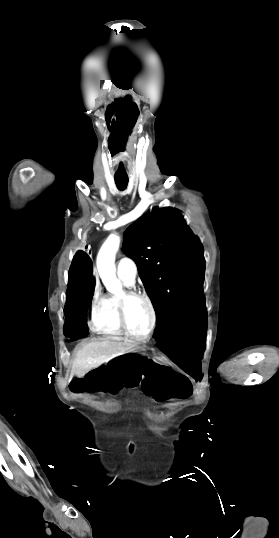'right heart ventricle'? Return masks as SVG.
Listing matches in <instances>:
<instances>
[{
  "instance_id": "e07e8e85",
  "label": "right heart ventricle",
  "mask_w": 279,
  "mask_h": 538,
  "mask_svg": "<svg viewBox=\"0 0 279 538\" xmlns=\"http://www.w3.org/2000/svg\"><path fill=\"white\" fill-rule=\"evenodd\" d=\"M111 237L118 241L116 233L111 234ZM118 275V274H117ZM120 283L125 287H130L133 283H128L122 276L118 275ZM120 295L106 294L99 300L94 301L92 308V328L102 334L107 335H124V331L118 320V299Z\"/></svg>"
}]
</instances>
